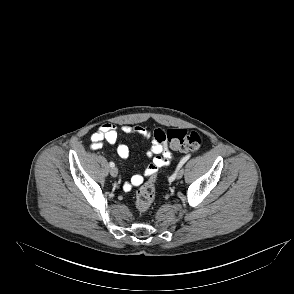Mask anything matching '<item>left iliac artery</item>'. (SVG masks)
<instances>
[{
  "instance_id": "44dca946",
  "label": "left iliac artery",
  "mask_w": 294,
  "mask_h": 294,
  "mask_svg": "<svg viewBox=\"0 0 294 294\" xmlns=\"http://www.w3.org/2000/svg\"><path fill=\"white\" fill-rule=\"evenodd\" d=\"M191 157V154L186 155L185 157H183L181 159V161L179 162L175 173L169 177V181H173L175 179V175L181 170L182 166L185 164V162Z\"/></svg>"
}]
</instances>
